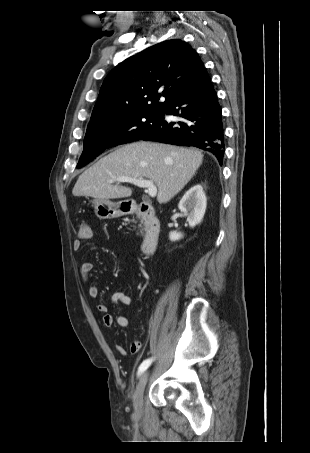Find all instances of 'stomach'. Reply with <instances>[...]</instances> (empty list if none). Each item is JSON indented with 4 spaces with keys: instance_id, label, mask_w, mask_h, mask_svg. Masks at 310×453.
I'll use <instances>...</instances> for the list:
<instances>
[{
    "instance_id": "obj_1",
    "label": "stomach",
    "mask_w": 310,
    "mask_h": 453,
    "mask_svg": "<svg viewBox=\"0 0 310 453\" xmlns=\"http://www.w3.org/2000/svg\"><path fill=\"white\" fill-rule=\"evenodd\" d=\"M94 211L99 219H113L126 214L123 202H112L107 199H94Z\"/></svg>"
}]
</instances>
